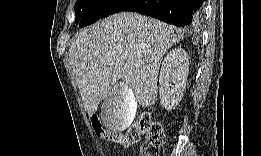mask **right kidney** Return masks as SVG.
I'll list each match as a JSON object with an SVG mask.
<instances>
[{"mask_svg": "<svg viewBox=\"0 0 261 156\" xmlns=\"http://www.w3.org/2000/svg\"><path fill=\"white\" fill-rule=\"evenodd\" d=\"M189 72L187 52L175 48L164 58L159 75V98L163 108L171 110L180 102Z\"/></svg>", "mask_w": 261, "mask_h": 156, "instance_id": "1", "label": "right kidney"}]
</instances>
